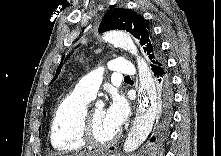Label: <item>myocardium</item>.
<instances>
[{
    "mask_svg": "<svg viewBox=\"0 0 221 156\" xmlns=\"http://www.w3.org/2000/svg\"><path fill=\"white\" fill-rule=\"evenodd\" d=\"M81 139L86 145L105 148L113 145L119 139V132H117L112 138L107 141H100L96 138L93 130V121L91 116V110L86 109L80 127Z\"/></svg>",
    "mask_w": 221,
    "mask_h": 156,
    "instance_id": "obj_1",
    "label": "myocardium"
}]
</instances>
